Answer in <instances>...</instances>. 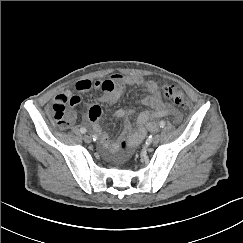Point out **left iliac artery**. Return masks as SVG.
<instances>
[{
    "label": "left iliac artery",
    "instance_id": "obj_1",
    "mask_svg": "<svg viewBox=\"0 0 243 243\" xmlns=\"http://www.w3.org/2000/svg\"><path fill=\"white\" fill-rule=\"evenodd\" d=\"M165 126V122L164 121H161L160 123H159V127L160 128H163ZM152 136H150V138H151Z\"/></svg>",
    "mask_w": 243,
    "mask_h": 243
}]
</instances>
